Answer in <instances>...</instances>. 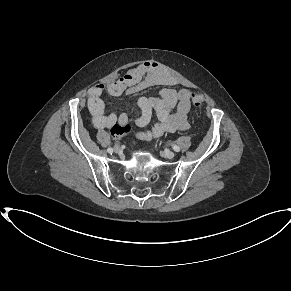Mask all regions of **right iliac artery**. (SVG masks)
I'll list each match as a JSON object with an SVG mask.
<instances>
[{
    "label": "right iliac artery",
    "mask_w": 291,
    "mask_h": 291,
    "mask_svg": "<svg viewBox=\"0 0 291 291\" xmlns=\"http://www.w3.org/2000/svg\"><path fill=\"white\" fill-rule=\"evenodd\" d=\"M113 151H114V149H113V148H108V149H107V152H108V153H110V154H112V153H113Z\"/></svg>",
    "instance_id": "right-iliac-artery-1"
}]
</instances>
